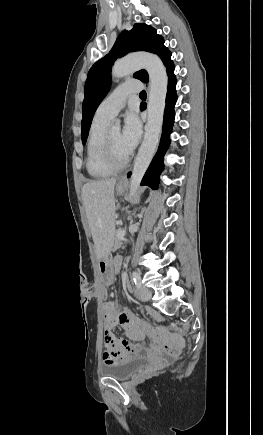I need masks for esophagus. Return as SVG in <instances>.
Returning <instances> with one entry per match:
<instances>
[{
    "mask_svg": "<svg viewBox=\"0 0 263 435\" xmlns=\"http://www.w3.org/2000/svg\"><path fill=\"white\" fill-rule=\"evenodd\" d=\"M123 180H125V177H124V176L120 179V181H123Z\"/></svg>",
    "mask_w": 263,
    "mask_h": 435,
    "instance_id": "1",
    "label": "esophagus"
}]
</instances>
